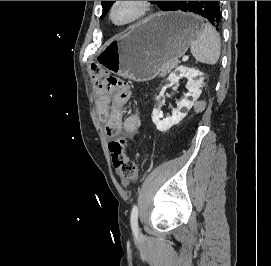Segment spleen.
Returning <instances> with one entry per match:
<instances>
[{
    "label": "spleen",
    "instance_id": "obj_1",
    "mask_svg": "<svg viewBox=\"0 0 271 266\" xmlns=\"http://www.w3.org/2000/svg\"><path fill=\"white\" fill-rule=\"evenodd\" d=\"M196 61L214 65L220 57V36L210 24H203L196 40L191 43Z\"/></svg>",
    "mask_w": 271,
    "mask_h": 266
}]
</instances>
